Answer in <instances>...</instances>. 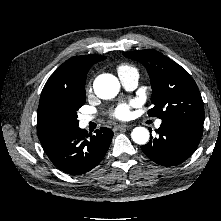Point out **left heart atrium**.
<instances>
[{"mask_svg":"<svg viewBox=\"0 0 221 221\" xmlns=\"http://www.w3.org/2000/svg\"><path fill=\"white\" fill-rule=\"evenodd\" d=\"M134 102L120 103L112 111V116L119 120L129 119L131 116V107L134 106Z\"/></svg>","mask_w":221,"mask_h":221,"instance_id":"obj_1","label":"left heart atrium"}]
</instances>
